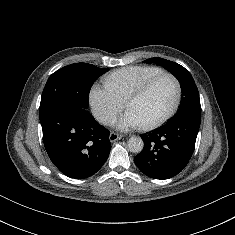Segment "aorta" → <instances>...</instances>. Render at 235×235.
<instances>
[{"mask_svg": "<svg viewBox=\"0 0 235 235\" xmlns=\"http://www.w3.org/2000/svg\"><path fill=\"white\" fill-rule=\"evenodd\" d=\"M144 143L140 137L132 136L128 140V148L133 153H140L143 149Z\"/></svg>", "mask_w": 235, "mask_h": 235, "instance_id": "762f6f07", "label": "aorta"}]
</instances>
